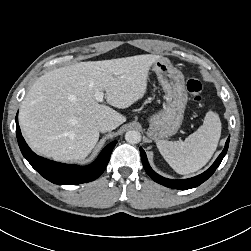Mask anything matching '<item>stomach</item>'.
I'll return each instance as SVG.
<instances>
[{"mask_svg": "<svg viewBox=\"0 0 251 251\" xmlns=\"http://www.w3.org/2000/svg\"><path fill=\"white\" fill-rule=\"evenodd\" d=\"M156 73L165 92L163 109L149 117L148 136L160 140L174 135L180 128L188 94L185 88L184 75L173 66L168 58L160 57L153 63Z\"/></svg>", "mask_w": 251, "mask_h": 251, "instance_id": "stomach-1", "label": "stomach"}]
</instances>
